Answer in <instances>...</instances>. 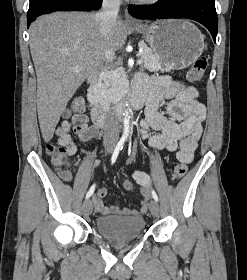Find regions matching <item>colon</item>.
Wrapping results in <instances>:
<instances>
[{
    "mask_svg": "<svg viewBox=\"0 0 247 280\" xmlns=\"http://www.w3.org/2000/svg\"><path fill=\"white\" fill-rule=\"evenodd\" d=\"M207 67V61L204 58L196 60L188 72V80L191 82H198L202 79ZM70 110L74 115H83L84 103L81 99H74L70 104ZM47 153L50 155L55 166L60 168V175L64 177L68 171L63 169L67 161L66 148L61 143L50 142L46 146ZM187 173V166L184 163H179L174 167L172 177L174 180H180ZM123 188L127 191L133 189V183L130 180L123 182Z\"/></svg>",
    "mask_w": 247,
    "mask_h": 280,
    "instance_id": "1",
    "label": "colon"
}]
</instances>
